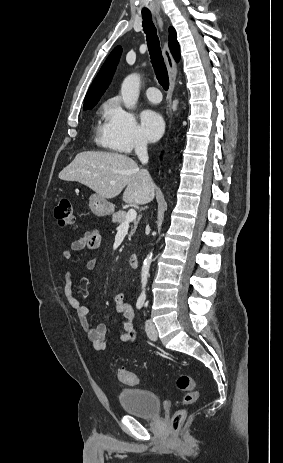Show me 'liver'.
Instances as JSON below:
<instances>
[{"label":"liver","mask_w":283,"mask_h":463,"mask_svg":"<svg viewBox=\"0 0 283 463\" xmlns=\"http://www.w3.org/2000/svg\"><path fill=\"white\" fill-rule=\"evenodd\" d=\"M146 171L123 154L84 151L59 173V178L84 184L105 199H112L125 189V203L143 205L155 196V185Z\"/></svg>","instance_id":"6515ba94"}]
</instances>
